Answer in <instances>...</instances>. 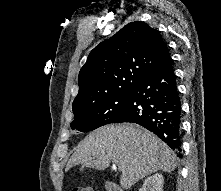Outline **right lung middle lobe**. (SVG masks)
Masks as SVG:
<instances>
[{"mask_svg": "<svg viewBox=\"0 0 221 191\" xmlns=\"http://www.w3.org/2000/svg\"><path fill=\"white\" fill-rule=\"evenodd\" d=\"M132 91L104 99L82 110L74 112L71 129L89 132L106 124L115 123L128 109Z\"/></svg>", "mask_w": 221, "mask_h": 191, "instance_id": "dd1d6c3e", "label": "right lung middle lobe"}]
</instances>
